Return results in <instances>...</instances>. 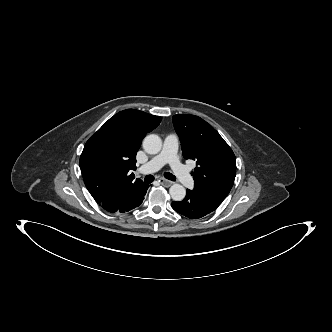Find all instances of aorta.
Instances as JSON below:
<instances>
[{"label":"aorta","mask_w":332,"mask_h":332,"mask_svg":"<svg viewBox=\"0 0 332 332\" xmlns=\"http://www.w3.org/2000/svg\"><path fill=\"white\" fill-rule=\"evenodd\" d=\"M162 148V140L156 134H149L143 140V149L148 154H157L160 152ZM169 193L171 198L174 201H182L185 198L186 190L180 184H173L170 189Z\"/></svg>","instance_id":"762f6f07"}]
</instances>
